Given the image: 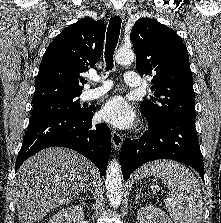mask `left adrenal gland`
Returning <instances> with one entry per match:
<instances>
[{
	"label": "left adrenal gland",
	"mask_w": 221,
	"mask_h": 223,
	"mask_svg": "<svg viewBox=\"0 0 221 223\" xmlns=\"http://www.w3.org/2000/svg\"><path fill=\"white\" fill-rule=\"evenodd\" d=\"M140 198L138 192H136V198H135V201H137L138 199Z\"/></svg>",
	"instance_id": "1"
}]
</instances>
